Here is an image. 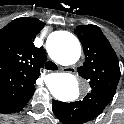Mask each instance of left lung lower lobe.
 I'll use <instances>...</instances> for the list:
<instances>
[{"label": "left lung lower lobe", "instance_id": "0a47b994", "mask_svg": "<svg viewBox=\"0 0 124 124\" xmlns=\"http://www.w3.org/2000/svg\"><path fill=\"white\" fill-rule=\"evenodd\" d=\"M52 109H53V112L56 115V117L63 122V118L61 116L60 102L53 100Z\"/></svg>", "mask_w": 124, "mask_h": 124}]
</instances>
